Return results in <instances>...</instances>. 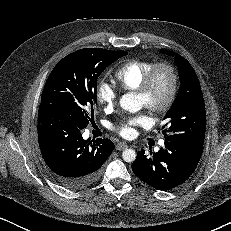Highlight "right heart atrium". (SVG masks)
<instances>
[{
    "instance_id": "right-heart-atrium-1",
    "label": "right heart atrium",
    "mask_w": 231,
    "mask_h": 231,
    "mask_svg": "<svg viewBox=\"0 0 231 231\" xmlns=\"http://www.w3.org/2000/svg\"><path fill=\"white\" fill-rule=\"evenodd\" d=\"M96 100L105 108H113L117 102V93L112 85L107 82L98 83L95 91Z\"/></svg>"
}]
</instances>
